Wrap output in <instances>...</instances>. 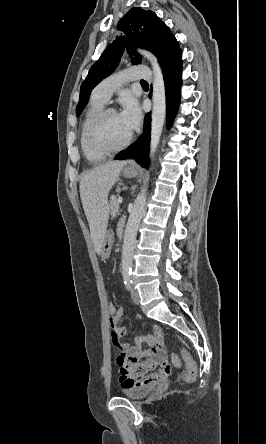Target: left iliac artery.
Masks as SVG:
<instances>
[{"label": "left iliac artery", "instance_id": "1", "mask_svg": "<svg viewBox=\"0 0 266 444\" xmlns=\"http://www.w3.org/2000/svg\"><path fill=\"white\" fill-rule=\"evenodd\" d=\"M123 277H124V284L126 285V288L130 289L131 284H132L131 274L125 273L123 275Z\"/></svg>", "mask_w": 266, "mask_h": 444}]
</instances>
